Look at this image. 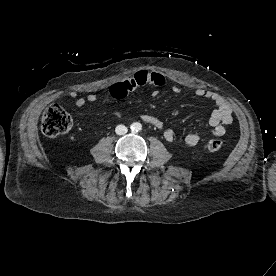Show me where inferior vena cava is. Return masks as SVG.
Listing matches in <instances>:
<instances>
[{
  "instance_id": "obj_1",
  "label": "inferior vena cava",
  "mask_w": 276,
  "mask_h": 276,
  "mask_svg": "<svg viewBox=\"0 0 276 276\" xmlns=\"http://www.w3.org/2000/svg\"><path fill=\"white\" fill-rule=\"evenodd\" d=\"M128 131L127 127L124 126V125H118L116 128H115V132L117 135H124L126 134Z\"/></svg>"
}]
</instances>
